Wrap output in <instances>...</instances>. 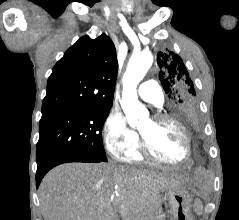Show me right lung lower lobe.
Listing matches in <instances>:
<instances>
[{"mask_svg": "<svg viewBox=\"0 0 239 220\" xmlns=\"http://www.w3.org/2000/svg\"><path fill=\"white\" fill-rule=\"evenodd\" d=\"M102 159L86 156V155H74V154H58L50 156L37 163L36 172V185L37 188L44 177V175L53 167L67 162H86V163H99Z\"/></svg>", "mask_w": 239, "mask_h": 220, "instance_id": "right-lung-lower-lobe-1", "label": "right lung lower lobe"}]
</instances>
